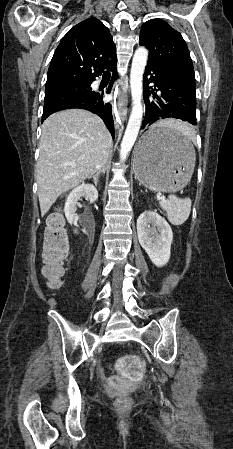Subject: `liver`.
<instances>
[{"mask_svg": "<svg viewBox=\"0 0 233 449\" xmlns=\"http://www.w3.org/2000/svg\"><path fill=\"white\" fill-rule=\"evenodd\" d=\"M160 123L184 126L176 120ZM109 137L104 122L93 113L81 109L60 111L44 121L36 165L42 216L60 195L98 171L109 147Z\"/></svg>", "mask_w": 233, "mask_h": 449, "instance_id": "obj_1", "label": "liver"}]
</instances>
